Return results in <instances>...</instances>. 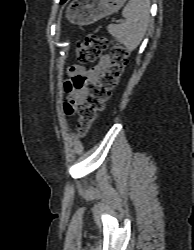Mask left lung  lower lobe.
<instances>
[{
	"label": "left lung lower lobe",
	"mask_w": 194,
	"mask_h": 250,
	"mask_svg": "<svg viewBox=\"0 0 194 250\" xmlns=\"http://www.w3.org/2000/svg\"><path fill=\"white\" fill-rule=\"evenodd\" d=\"M66 0H61V3L63 4Z\"/></svg>",
	"instance_id": "obj_1"
}]
</instances>
